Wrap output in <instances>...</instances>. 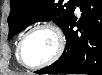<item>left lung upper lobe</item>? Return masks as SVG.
<instances>
[{
  "instance_id": "5c2ea615",
  "label": "left lung upper lobe",
  "mask_w": 102,
  "mask_h": 75,
  "mask_svg": "<svg viewBox=\"0 0 102 75\" xmlns=\"http://www.w3.org/2000/svg\"><path fill=\"white\" fill-rule=\"evenodd\" d=\"M80 0H11L9 37L39 21L53 20L59 27L73 14Z\"/></svg>"
}]
</instances>
